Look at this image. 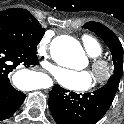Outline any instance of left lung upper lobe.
I'll use <instances>...</instances> for the list:
<instances>
[{"label": "left lung upper lobe", "mask_w": 124, "mask_h": 124, "mask_svg": "<svg viewBox=\"0 0 124 124\" xmlns=\"http://www.w3.org/2000/svg\"><path fill=\"white\" fill-rule=\"evenodd\" d=\"M84 28L95 32L109 47L112 54L114 71L106 85L117 91L123 74V47L119 39L109 28L98 22H88L84 25Z\"/></svg>", "instance_id": "1"}]
</instances>
